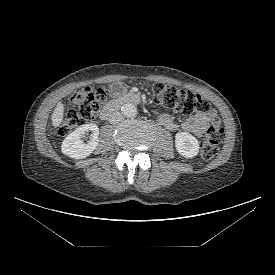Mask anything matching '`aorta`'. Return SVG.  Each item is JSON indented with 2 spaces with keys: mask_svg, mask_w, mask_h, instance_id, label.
I'll use <instances>...</instances> for the list:
<instances>
[{
  "mask_svg": "<svg viewBox=\"0 0 275 275\" xmlns=\"http://www.w3.org/2000/svg\"><path fill=\"white\" fill-rule=\"evenodd\" d=\"M122 114L128 118H133L137 115V107L132 103H125L121 107Z\"/></svg>",
  "mask_w": 275,
  "mask_h": 275,
  "instance_id": "762f6f07",
  "label": "aorta"
}]
</instances>
